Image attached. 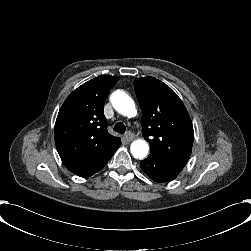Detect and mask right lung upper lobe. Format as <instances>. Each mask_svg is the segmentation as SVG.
I'll return each instance as SVG.
<instances>
[{
	"label": "right lung upper lobe",
	"instance_id": "obj_1",
	"mask_svg": "<svg viewBox=\"0 0 251 251\" xmlns=\"http://www.w3.org/2000/svg\"><path fill=\"white\" fill-rule=\"evenodd\" d=\"M118 76L101 75L79 86L63 103L55 124V144L69 171L90 177L100 171L120 147L107 131L104 102Z\"/></svg>",
	"mask_w": 251,
	"mask_h": 251
}]
</instances>
